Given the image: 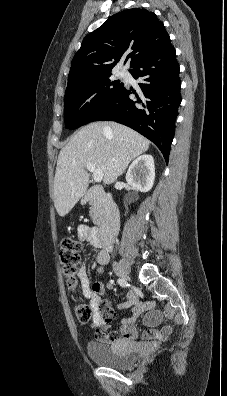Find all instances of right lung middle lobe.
Masks as SVG:
<instances>
[{
    "label": "right lung middle lobe",
    "instance_id": "dd1d6c3e",
    "mask_svg": "<svg viewBox=\"0 0 227 396\" xmlns=\"http://www.w3.org/2000/svg\"><path fill=\"white\" fill-rule=\"evenodd\" d=\"M111 72L79 82L65 92L64 115L66 128L75 129L93 120L123 87L119 80L111 81ZM89 103H85L95 94Z\"/></svg>",
    "mask_w": 227,
    "mask_h": 396
}]
</instances>
